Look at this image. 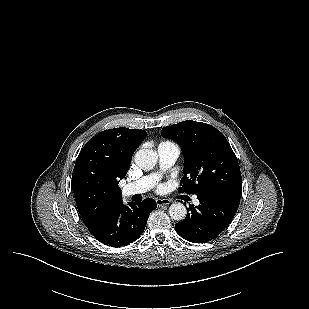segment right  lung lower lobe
Returning a JSON list of instances; mask_svg holds the SVG:
<instances>
[{
	"label": "right lung lower lobe",
	"mask_w": 309,
	"mask_h": 309,
	"mask_svg": "<svg viewBox=\"0 0 309 309\" xmlns=\"http://www.w3.org/2000/svg\"><path fill=\"white\" fill-rule=\"evenodd\" d=\"M156 207V202L149 198L140 203H128L127 206L121 201L105 209L86 227L105 245L125 246L140 237L150 212Z\"/></svg>",
	"instance_id": "98d812e1"
}]
</instances>
